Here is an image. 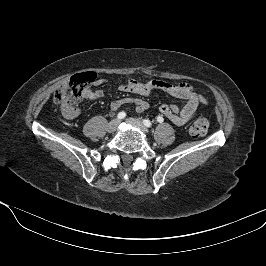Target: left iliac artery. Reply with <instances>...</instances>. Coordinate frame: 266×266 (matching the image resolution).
<instances>
[{"label": "left iliac artery", "instance_id": "1", "mask_svg": "<svg viewBox=\"0 0 266 266\" xmlns=\"http://www.w3.org/2000/svg\"><path fill=\"white\" fill-rule=\"evenodd\" d=\"M157 121H158L159 123H162V122H163V118L159 116V117L157 118ZM143 124H144L146 127H151V126H152L150 120H148V119H144V120H143Z\"/></svg>", "mask_w": 266, "mask_h": 266}]
</instances>
